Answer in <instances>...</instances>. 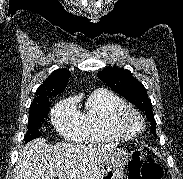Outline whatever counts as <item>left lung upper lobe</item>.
Wrapping results in <instances>:
<instances>
[{
	"instance_id": "1",
	"label": "left lung upper lobe",
	"mask_w": 183,
	"mask_h": 179,
	"mask_svg": "<svg viewBox=\"0 0 183 179\" xmlns=\"http://www.w3.org/2000/svg\"><path fill=\"white\" fill-rule=\"evenodd\" d=\"M98 77L114 91L145 111L146 117L151 122L153 134L156 135V122L153 117L151 101L145 87L132 76L130 71L109 67L99 71Z\"/></svg>"
}]
</instances>
